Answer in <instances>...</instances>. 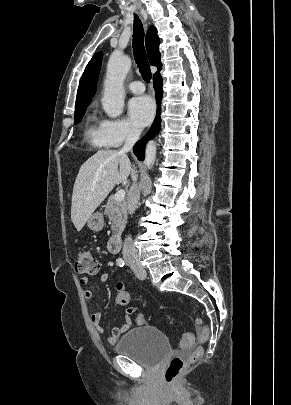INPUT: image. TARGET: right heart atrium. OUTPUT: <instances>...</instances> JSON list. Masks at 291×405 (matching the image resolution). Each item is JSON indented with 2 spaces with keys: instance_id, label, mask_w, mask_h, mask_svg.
<instances>
[{
  "instance_id": "obj_1",
  "label": "right heart atrium",
  "mask_w": 291,
  "mask_h": 405,
  "mask_svg": "<svg viewBox=\"0 0 291 405\" xmlns=\"http://www.w3.org/2000/svg\"><path fill=\"white\" fill-rule=\"evenodd\" d=\"M100 130L108 147H119L139 136V130L126 119H103Z\"/></svg>"
}]
</instances>
